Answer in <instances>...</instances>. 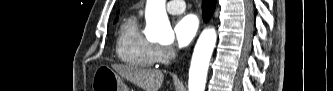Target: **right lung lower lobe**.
Instances as JSON below:
<instances>
[{"mask_svg":"<svg viewBox=\"0 0 333 91\" xmlns=\"http://www.w3.org/2000/svg\"><path fill=\"white\" fill-rule=\"evenodd\" d=\"M216 0H203L202 1V10H203V18L205 21H208L215 9Z\"/></svg>","mask_w":333,"mask_h":91,"instance_id":"obj_1","label":"right lung lower lobe"}]
</instances>
